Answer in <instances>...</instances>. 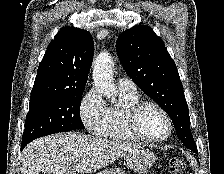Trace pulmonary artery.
Masks as SVG:
<instances>
[{
  "label": "pulmonary artery",
  "instance_id": "obj_1",
  "mask_svg": "<svg viewBox=\"0 0 224 174\" xmlns=\"http://www.w3.org/2000/svg\"><path fill=\"white\" fill-rule=\"evenodd\" d=\"M117 86L119 91L127 93H137L136 84L132 80L121 78L118 80Z\"/></svg>",
  "mask_w": 224,
  "mask_h": 174
}]
</instances>
